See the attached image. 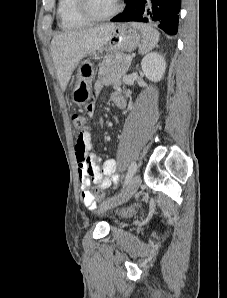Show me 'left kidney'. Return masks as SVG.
Returning <instances> with one entry per match:
<instances>
[{"mask_svg":"<svg viewBox=\"0 0 227 298\" xmlns=\"http://www.w3.org/2000/svg\"><path fill=\"white\" fill-rule=\"evenodd\" d=\"M141 67L143 73L149 80L158 82L165 73L166 62L160 54L152 52L142 59Z\"/></svg>","mask_w":227,"mask_h":298,"instance_id":"left-kidney-1","label":"left kidney"}]
</instances>
